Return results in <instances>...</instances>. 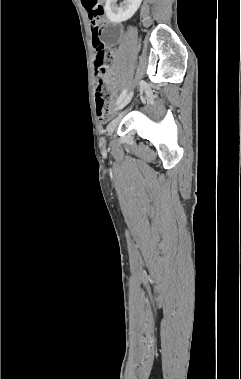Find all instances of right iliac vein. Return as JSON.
I'll return each mask as SVG.
<instances>
[{
    "mask_svg": "<svg viewBox=\"0 0 241 379\" xmlns=\"http://www.w3.org/2000/svg\"><path fill=\"white\" fill-rule=\"evenodd\" d=\"M132 97H133V92H130L125 98H123V100L120 102V104L118 105V107H117V110L119 111V110H121V109H123L130 101H131V99H132ZM115 127H116V121H113L110 125H109V127H108V132L111 134L113 131H114V129H115Z\"/></svg>",
    "mask_w": 241,
    "mask_h": 379,
    "instance_id": "right-iliac-vein-1",
    "label": "right iliac vein"
}]
</instances>
